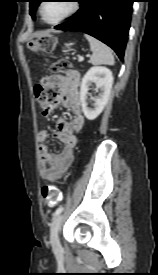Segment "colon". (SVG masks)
<instances>
[{"mask_svg": "<svg viewBox=\"0 0 158 275\" xmlns=\"http://www.w3.org/2000/svg\"><path fill=\"white\" fill-rule=\"evenodd\" d=\"M55 47L56 37L53 34H44L31 40L28 44L29 50L34 53H50ZM69 68L70 63L65 59L58 60L51 66L53 72H62ZM35 96L41 113H50L55 101V94L39 84L35 87ZM41 197L46 205L53 207L60 203L62 195L60 189L55 185L44 184L41 188Z\"/></svg>", "mask_w": 158, "mask_h": 275, "instance_id": "5ec220e1", "label": "colon"}]
</instances>
